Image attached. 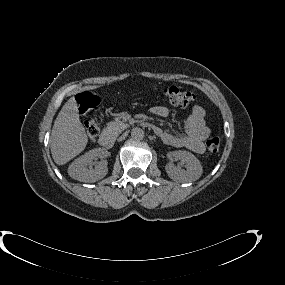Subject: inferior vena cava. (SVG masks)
I'll list each match as a JSON object with an SVG mask.
<instances>
[{
  "instance_id": "obj_1",
  "label": "inferior vena cava",
  "mask_w": 285,
  "mask_h": 285,
  "mask_svg": "<svg viewBox=\"0 0 285 285\" xmlns=\"http://www.w3.org/2000/svg\"><path fill=\"white\" fill-rule=\"evenodd\" d=\"M118 141L119 142H124L125 141V136L124 135H119L118 136Z\"/></svg>"
}]
</instances>
